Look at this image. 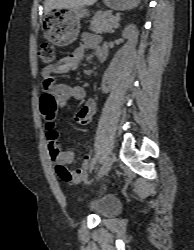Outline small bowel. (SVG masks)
Here are the masks:
<instances>
[{
    "label": "small bowel",
    "mask_w": 194,
    "mask_h": 250,
    "mask_svg": "<svg viewBox=\"0 0 194 250\" xmlns=\"http://www.w3.org/2000/svg\"><path fill=\"white\" fill-rule=\"evenodd\" d=\"M88 50H94L98 60L103 61L102 57H106V51L100 45V37L92 33H84L81 36L80 43L78 47L68 56L62 58L59 63L53 67L44 68L42 75L44 78V89L49 91L55 100L63 105L69 99L73 98L76 100H82L85 98V89L81 85H56L49 81L53 73H66L69 71L77 70L85 57ZM49 81V82H48ZM97 109V103L94 100H88L80 108V110L75 115V120L81 125H89L95 115ZM55 118L54 116H44L46 121V130L48 138V148L50 152L51 159L57 166H64L72 164L74 159L73 152L62 151L59 147L57 141V132L55 130ZM91 156L86 154L83 156L81 166L73 172H70V178L65 179L67 182L80 183L87 179L88 168L90 165Z\"/></svg>",
    "instance_id": "1"
}]
</instances>
